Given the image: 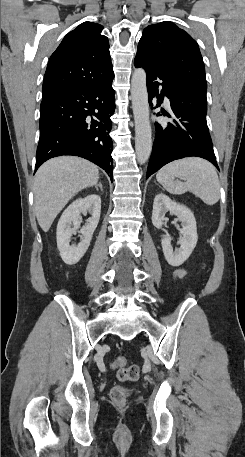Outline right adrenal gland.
Segmentation results:
<instances>
[{
	"label": "right adrenal gland",
	"mask_w": 245,
	"mask_h": 457,
	"mask_svg": "<svg viewBox=\"0 0 245 457\" xmlns=\"http://www.w3.org/2000/svg\"><path fill=\"white\" fill-rule=\"evenodd\" d=\"M95 188H96V190H99V188H100V190H103V186H102L101 182H99V184H96Z\"/></svg>",
	"instance_id": "2a0ac1e0"
}]
</instances>
